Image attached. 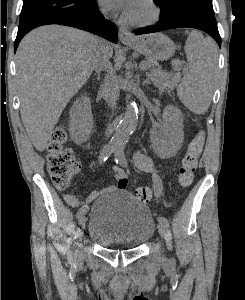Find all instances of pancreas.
I'll use <instances>...</instances> for the list:
<instances>
[{
  "mask_svg": "<svg viewBox=\"0 0 245 300\" xmlns=\"http://www.w3.org/2000/svg\"><path fill=\"white\" fill-rule=\"evenodd\" d=\"M147 65V68L150 69L149 80L160 89V91L167 90L168 93L174 89L177 83L181 79L180 73H169L161 70L157 67V62L153 60L144 61ZM176 71L179 70V67L174 68Z\"/></svg>",
  "mask_w": 245,
  "mask_h": 300,
  "instance_id": "pancreas-1",
  "label": "pancreas"
}]
</instances>
